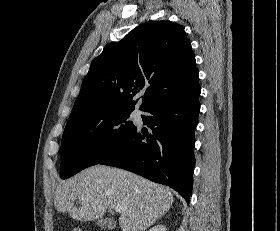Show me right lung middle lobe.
<instances>
[{"label": "right lung middle lobe", "mask_w": 280, "mask_h": 231, "mask_svg": "<svg viewBox=\"0 0 280 231\" xmlns=\"http://www.w3.org/2000/svg\"><path fill=\"white\" fill-rule=\"evenodd\" d=\"M130 113L68 120L61 144L60 177L69 178L109 156L136 129L127 121Z\"/></svg>", "instance_id": "dd1d6c3e"}]
</instances>
